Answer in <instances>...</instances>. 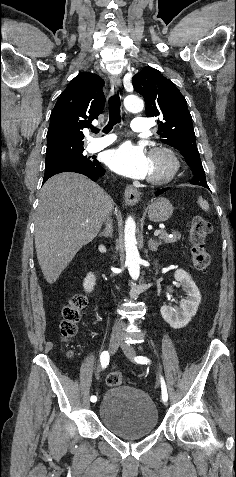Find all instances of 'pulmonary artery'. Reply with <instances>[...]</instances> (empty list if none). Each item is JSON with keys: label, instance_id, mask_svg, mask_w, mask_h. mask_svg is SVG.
I'll use <instances>...</instances> for the list:
<instances>
[{"label": "pulmonary artery", "instance_id": "e3ab8cb5", "mask_svg": "<svg viewBox=\"0 0 236 477\" xmlns=\"http://www.w3.org/2000/svg\"><path fill=\"white\" fill-rule=\"evenodd\" d=\"M131 129L134 132H147L150 129L149 121L146 118H134L131 122ZM116 136L111 134L105 137L97 138L91 143V149L93 151L101 150L109 146Z\"/></svg>", "mask_w": 236, "mask_h": 477}]
</instances>
